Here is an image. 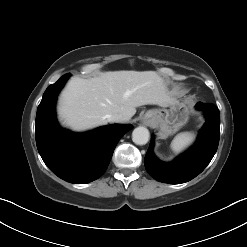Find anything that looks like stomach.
I'll use <instances>...</instances> for the list:
<instances>
[{
    "mask_svg": "<svg viewBox=\"0 0 247 247\" xmlns=\"http://www.w3.org/2000/svg\"><path fill=\"white\" fill-rule=\"evenodd\" d=\"M164 109L150 110L146 116L153 126L159 129L161 137H168L187 123L188 111L179 103L166 105Z\"/></svg>",
    "mask_w": 247,
    "mask_h": 247,
    "instance_id": "0dacf381",
    "label": "stomach"
}]
</instances>
